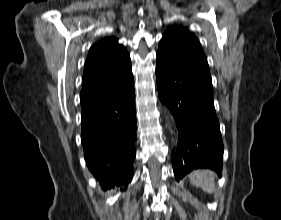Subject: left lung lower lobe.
<instances>
[{
    "mask_svg": "<svg viewBox=\"0 0 281 220\" xmlns=\"http://www.w3.org/2000/svg\"><path fill=\"white\" fill-rule=\"evenodd\" d=\"M156 77L160 100L178 128V143L172 151L175 178L179 181L197 168L221 175L224 147L209 69L184 56L157 54Z\"/></svg>",
    "mask_w": 281,
    "mask_h": 220,
    "instance_id": "0a47b994",
    "label": "left lung lower lobe"
}]
</instances>
